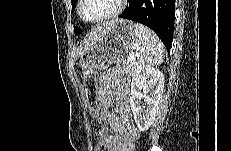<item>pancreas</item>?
<instances>
[{
    "instance_id": "pancreas-1",
    "label": "pancreas",
    "mask_w": 231,
    "mask_h": 151,
    "mask_svg": "<svg viewBox=\"0 0 231 151\" xmlns=\"http://www.w3.org/2000/svg\"><path fill=\"white\" fill-rule=\"evenodd\" d=\"M121 68L125 72V74L131 76L134 73V70L136 68V64L134 63H127V62H121Z\"/></svg>"
}]
</instances>
